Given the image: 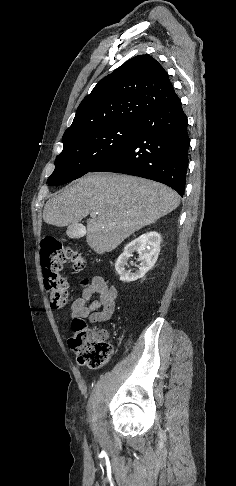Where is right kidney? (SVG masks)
I'll list each match as a JSON object with an SVG mask.
<instances>
[{
	"instance_id": "obj_1",
	"label": "right kidney",
	"mask_w": 236,
	"mask_h": 486,
	"mask_svg": "<svg viewBox=\"0 0 236 486\" xmlns=\"http://www.w3.org/2000/svg\"><path fill=\"white\" fill-rule=\"evenodd\" d=\"M161 235L155 231H151L141 235L128 243L124 252L118 257L115 263V269L120 280L123 282L136 281L142 277L154 266L160 253ZM137 251L139 253L140 266L139 269L131 273L126 271L129 257L132 253Z\"/></svg>"
}]
</instances>
